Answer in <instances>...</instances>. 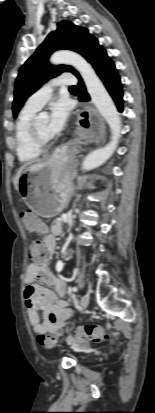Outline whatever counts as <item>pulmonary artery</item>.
<instances>
[{"label":"pulmonary artery","instance_id":"pulmonary-artery-1","mask_svg":"<svg viewBox=\"0 0 155 413\" xmlns=\"http://www.w3.org/2000/svg\"><path fill=\"white\" fill-rule=\"evenodd\" d=\"M76 83V78L71 73H64L56 78L51 79L41 89L31 95L27 102L26 107L33 110H40L43 105L49 100L52 95L53 89L59 85H73Z\"/></svg>","mask_w":155,"mask_h":413}]
</instances>
